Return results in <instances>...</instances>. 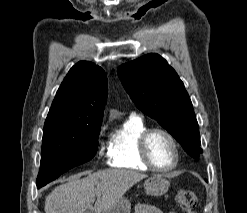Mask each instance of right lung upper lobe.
<instances>
[{"label":"right lung upper lobe","mask_w":247,"mask_h":213,"mask_svg":"<svg viewBox=\"0 0 247 213\" xmlns=\"http://www.w3.org/2000/svg\"><path fill=\"white\" fill-rule=\"evenodd\" d=\"M106 97L104 70L92 62L80 61L58 89L44 126H101Z\"/></svg>","instance_id":"cb5924a9"}]
</instances>
